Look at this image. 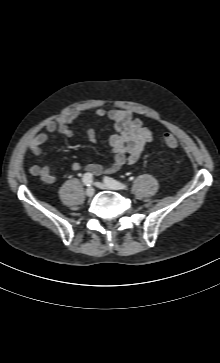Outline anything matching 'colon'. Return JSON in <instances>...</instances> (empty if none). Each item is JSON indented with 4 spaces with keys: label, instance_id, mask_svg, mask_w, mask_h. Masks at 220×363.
<instances>
[{
    "label": "colon",
    "instance_id": "obj_1",
    "mask_svg": "<svg viewBox=\"0 0 220 363\" xmlns=\"http://www.w3.org/2000/svg\"><path fill=\"white\" fill-rule=\"evenodd\" d=\"M163 140L166 146L169 148H175L178 145L176 137L170 132H167L163 135Z\"/></svg>",
    "mask_w": 220,
    "mask_h": 363
}]
</instances>
